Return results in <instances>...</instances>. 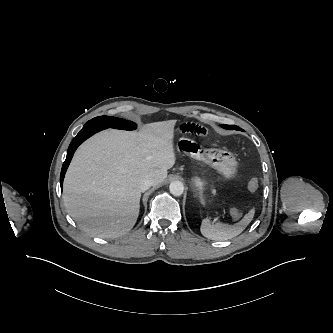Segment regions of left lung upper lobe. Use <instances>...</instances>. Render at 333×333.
Returning a JSON list of instances; mask_svg holds the SVG:
<instances>
[{"label": "left lung upper lobe", "mask_w": 333, "mask_h": 333, "mask_svg": "<svg viewBox=\"0 0 333 333\" xmlns=\"http://www.w3.org/2000/svg\"><path fill=\"white\" fill-rule=\"evenodd\" d=\"M222 127L226 128V129H235V128H237V126H235V125H222ZM231 127H233V128H231Z\"/></svg>", "instance_id": "1"}]
</instances>
